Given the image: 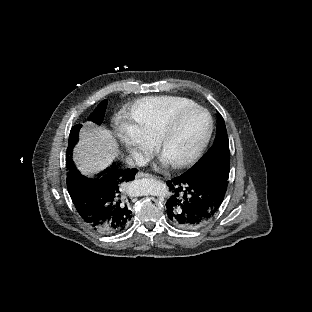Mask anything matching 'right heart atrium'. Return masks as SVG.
<instances>
[{
  "label": "right heart atrium",
  "instance_id": "1",
  "mask_svg": "<svg viewBox=\"0 0 312 312\" xmlns=\"http://www.w3.org/2000/svg\"><path fill=\"white\" fill-rule=\"evenodd\" d=\"M122 140L125 147L130 152H138L143 147V140L139 137V133L134 128H127L122 133Z\"/></svg>",
  "mask_w": 312,
  "mask_h": 312
}]
</instances>
